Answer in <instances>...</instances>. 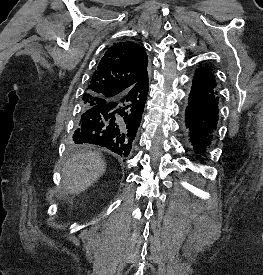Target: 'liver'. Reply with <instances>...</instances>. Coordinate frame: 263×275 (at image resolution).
<instances>
[{
	"label": "liver",
	"instance_id": "liver-1",
	"mask_svg": "<svg viewBox=\"0 0 263 275\" xmlns=\"http://www.w3.org/2000/svg\"><path fill=\"white\" fill-rule=\"evenodd\" d=\"M103 159L91 151L74 155L64 164L62 171L65 194H79L93 185L105 172Z\"/></svg>",
	"mask_w": 263,
	"mask_h": 275
}]
</instances>
